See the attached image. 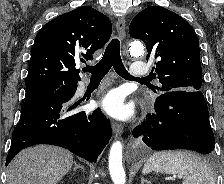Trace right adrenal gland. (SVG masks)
I'll return each instance as SVG.
<instances>
[{
  "label": "right adrenal gland",
  "mask_w": 224,
  "mask_h": 184,
  "mask_svg": "<svg viewBox=\"0 0 224 184\" xmlns=\"http://www.w3.org/2000/svg\"><path fill=\"white\" fill-rule=\"evenodd\" d=\"M74 165H75V167H74V169H73L74 172H75L78 168H80V169H82V170L84 171V167L81 166V165H79V164H77L76 161H74Z\"/></svg>",
  "instance_id": "right-adrenal-gland-1"
}]
</instances>
